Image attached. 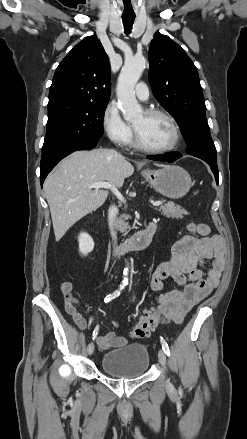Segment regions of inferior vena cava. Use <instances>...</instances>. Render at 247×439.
Instances as JSON below:
<instances>
[{"label": "inferior vena cava", "mask_w": 247, "mask_h": 439, "mask_svg": "<svg viewBox=\"0 0 247 439\" xmlns=\"http://www.w3.org/2000/svg\"><path fill=\"white\" fill-rule=\"evenodd\" d=\"M117 214H118L117 207L111 206L108 210V223H109L110 234L112 236L114 244H116L117 241V232L115 231L116 223H117Z\"/></svg>", "instance_id": "inferior-vena-cava-1"}]
</instances>
